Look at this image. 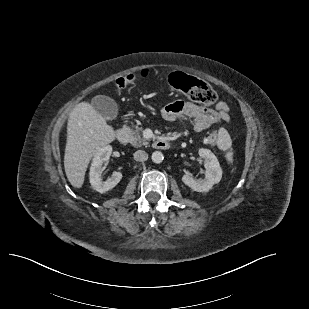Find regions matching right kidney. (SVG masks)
Listing matches in <instances>:
<instances>
[{"mask_svg": "<svg viewBox=\"0 0 309 309\" xmlns=\"http://www.w3.org/2000/svg\"><path fill=\"white\" fill-rule=\"evenodd\" d=\"M112 154V147L107 145L101 148L92 160V164L89 172V179L91 186L94 190L99 193H105L110 189L114 188L122 179V173L114 171L111 177L107 178L106 181H102L101 171L104 161L109 160Z\"/></svg>", "mask_w": 309, "mask_h": 309, "instance_id": "obj_1", "label": "right kidney"}]
</instances>
